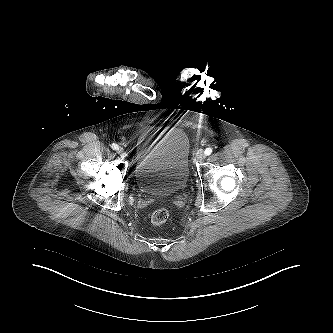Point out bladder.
Wrapping results in <instances>:
<instances>
[{
	"label": "bladder",
	"mask_w": 333,
	"mask_h": 333,
	"mask_svg": "<svg viewBox=\"0 0 333 333\" xmlns=\"http://www.w3.org/2000/svg\"><path fill=\"white\" fill-rule=\"evenodd\" d=\"M190 140L181 128L167 131L137 160L134 181L152 196H170L186 186L189 174Z\"/></svg>",
	"instance_id": "bladder-1"
}]
</instances>
